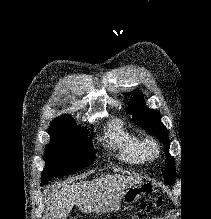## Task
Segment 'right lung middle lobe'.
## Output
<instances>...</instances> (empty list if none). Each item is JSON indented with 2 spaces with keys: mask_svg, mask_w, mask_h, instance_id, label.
I'll use <instances>...</instances> for the list:
<instances>
[{
  "mask_svg": "<svg viewBox=\"0 0 211 219\" xmlns=\"http://www.w3.org/2000/svg\"><path fill=\"white\" fill-rule=\"evenodd\" d=\"M49 134L51 139L45 148L42 185L52 177L77 172L93 163L95 152L87 139V132L72 119L54 120Z\"/></svg>",
  "mask_w": 211,
  "mask_h": 219,
  "instance_id": "1",
  "label": "right lung middle lobe"
}]
</instances>
